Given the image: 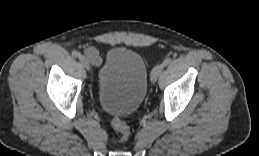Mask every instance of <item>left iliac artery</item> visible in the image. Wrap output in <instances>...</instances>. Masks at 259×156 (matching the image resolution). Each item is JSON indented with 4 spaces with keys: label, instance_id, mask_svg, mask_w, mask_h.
Masks as SVG:
<instances>
[{
    "label": "left iliac artery",
    "instance_id": "44dca946",
    "mask_svg": "<svg viewBox=\"0 0 259 156\" xmlns=\"http://www.w3.org/2000/svg\"><path fill=\"white\" fill-rule=\"evenodd\" d=\"M171 61H172L171 58H166V59L163 61L162 65H163V66H167L168 64L171 63Z\"/></svg>",
    "mask_w": 259,
    "mask_h": 156
}]
</instances>
